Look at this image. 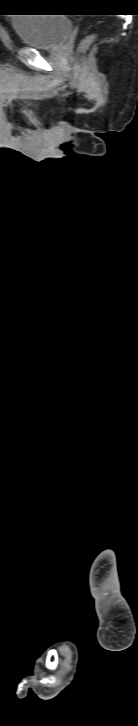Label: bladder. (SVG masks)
I'll use <instances>...</instances> for the list:
<instances>
[{
	"label": "bladder",
	"instance_id": "obj_1",
	"mask_svg": "<svg viewBox=\"0 0 138 726\" xmlns=\"http://www.w3.org/2000/svg\"><path fill=\"white\" fill-rule=\"evenodd\" d=\"M11 23L21 43L37 49L59 47L72 30L71 20L63 14H20Z\"/></svg>",
	"mask_w": 138,
	"mask_h": 726
}]
</instances>
